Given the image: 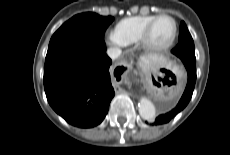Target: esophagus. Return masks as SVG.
Wrapping results in <instances>:
<instances>
[{"label":"esophagus","mask_w":230,"mask_h":155,"mask_svg":"<svg viewBox=\"0 0 230 155\" xmlns=\"http://www.w3.org/2000/svg\"><path fill=\"white\" fill-rule=\"evenodd\" d=\"M117 67H118V69L123 70L122 73H120V75H121V74L124 75L127 71L130 70V65H129L128 63H126V62H123V61H120V62L117 64ZM114 88H115V92H116V93H120V92H123V91H124V89L121 88L117 83L114 84Z\"/></svg>","instance_id":"34e87169"}]
</instances>
